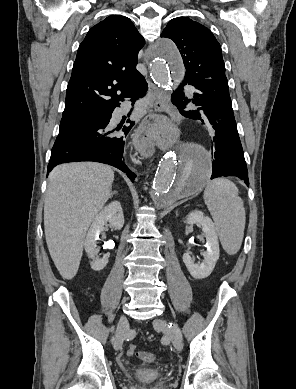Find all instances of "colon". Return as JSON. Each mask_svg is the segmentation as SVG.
<instances>
[{
  "instance_id": "colon-1",
  "label": "colon",
  "mask_w": 296,
  "mask_h": 389,
  "mask_svg": "<svg viewBox=\"0 0 296 389\" xmlns=\"http://www.w3.org/2000/svg\"><path fill=\"white\" fill-rule=\"evenodd\" d=\"M127 354L129 356H138L145 362H154L155 356L150 352L138 351L135 345H130L127 349Z\"/></svg>"
}]
</instances>
